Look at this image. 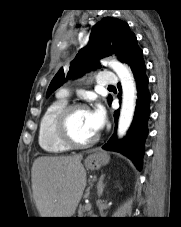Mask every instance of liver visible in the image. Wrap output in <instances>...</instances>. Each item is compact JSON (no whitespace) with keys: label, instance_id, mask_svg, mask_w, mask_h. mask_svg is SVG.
<instances>
[{"label":"liver","instance_id":"6515ba94","mask_svg":"<svg viewBox=\"0 0 181 227\" xmlns=\"http://www.w3.org/2000/svg\"><path fill=\"white\" fill-rule=\"evenodd\" d=\"M82 155L39 157L32 166V190L41 217H71L86 186Z\"/></svg>","mask_w":181,"mask_h":227}]
</instances>
